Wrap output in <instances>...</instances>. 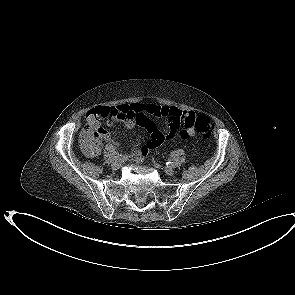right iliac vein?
I'll list each match as a JSON object with an SVG mask.
<instances>
[{"instance_id": "1", "label": "right iliac vein", "mask_w": 295, "mask_h": 295, "mask_svg": "<svg viewBox=\"0 0 295 295\" xmlns=\"http://www.w3.org/2000/svg\"><path fill=\"white\" fill-rule=\"evenodd\" d=\"M111 167L113 170H118L121 167V163L119 161H115L112 163Z\"/></svg>"}]
</instances>
